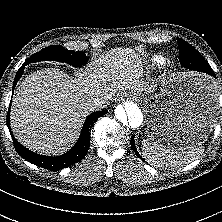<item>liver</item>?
Instances as JSON below:
<instances>
[{"label":"liver","mask_w":222,"mask_h":222,"mask_svg":"<svg viewBox=\"0 0 222 222\" xmlns=\"http://www.w3.org/2000/svg\"><path fill=\"white\" fill-rule=\"evenodd\" d=\"M142 76L141 61L129 48L110 50L74 79L55 68L31 73L13 94L14 136L34 152L62 154L77 140L89 100L102 96L110 101L127 91L152 93L155 86H147Z\"/></svg>","instance_id":"obj_1"}]
</instances>
